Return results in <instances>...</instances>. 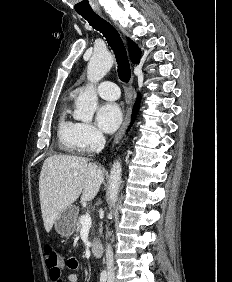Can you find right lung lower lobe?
Listing matches in <instances>:
<instances>
[{"label": "right lung lower lobe", "mask_w": 232, "mask_h": 282, "mask_svg": "<svg viewBox=\"0 0 232 282\" xmlns=\"http://www.w3.org/2000/svg\"><path fill=\"white\" fill-rule=\"evenodd\" d=\"M139 103H140V95H138L137 101H136L135 106L133 108L132 121H134L136 113L139 109Z\"/></svg>", "instance_id": "1"}]
</instances>
